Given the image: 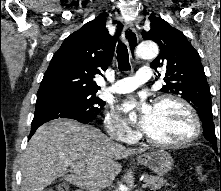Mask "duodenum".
Masks as SVG:
<instances>
[{"mask_svg": "<svg viewBox=\"0 0 221 191\" xmlns=\"http://www.w3.org/2000/svg\"><path fill=\"white\" fill-rule=\"evenodd\" d=\"M76 191H82L81 189H77Z\"/></svg>", "mask_w": 221, "mask_h": 191, "instance_id": "duodenum-1", "label": "duodenum"}]
</instances>
